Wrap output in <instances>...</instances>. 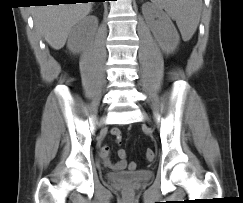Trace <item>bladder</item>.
<instances>
[{
  "label": "bladder",
  "instance_id": "obj_1",
  "mask_svg": "<svg viewBox=\"0 0 243 203\" xmlns=\"http://www.w3.org/2000/svg\"><path fill=\"white\" fill-rule=\"evenodd\" d=\"M108 181L122 183H135L149 181L153 177L152 170L144 169L140 171H123V172H108L106 175Z\"/></svg>",
  "mask_w": 243,
  "mask_h": 203
}]
</instances>
